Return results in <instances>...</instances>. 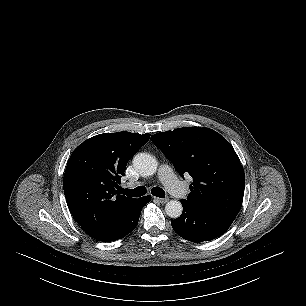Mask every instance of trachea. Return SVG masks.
<instances>
[{
    "mask_svg": "<svg viewBox=\"0 0 306 306\" xmlns=\"http://www.w3.org/2000/svg\"><path fill=\"white\" fill-rule=\"evenodd\" d=\"M120 193L130 196V197H140L143 196L147 193V189L144 186H138L135 189H123L120 188ZM151 193L159 198H164L165 197V192L162 188L160 187H154L151 190Z\"/></svg>",
    "mask_w": 306,
    "mask_h": 306,
    "instance_id": "3493384b",
    "label": "trachea"
}]
</instances>
